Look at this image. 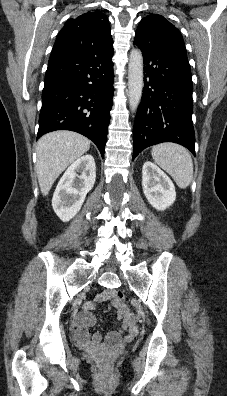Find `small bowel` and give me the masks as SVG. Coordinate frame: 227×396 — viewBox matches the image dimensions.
I'll use <instances>...</instances> for the list:
<instances>
[{
  "label": "small bowel",
  "instance_id": "small-bowel-1",
  "mask_svg": "<svg viewBox=\"0 0 227 396\" xmlns=\"http://www.w3.org/2000/svg\"><path fill=\"white\" fill-rule=\"evenodd\" d=\"M116 294L117 292L113 289L103 291L93 301L87 302L82 312L74 316L73 323L77 326L75 337L84 347L95 350L103 345L102 335L95 333L90 337L89 328L95 322L92 311L95 309L96 304L106 301L112 302V306L116 310V318L121 322V327L118 331H111L107 334L106 343L108 345H116L122 337L126 341H130L137 336L138 327L135 323V318L125 303L116 298Z\"/></svg>",
  "mask_w": 227,
  "mask_h": 396
}]
</instances>
